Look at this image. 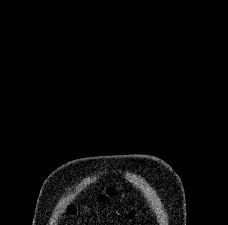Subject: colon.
Instances as JSON below:
<instances>
[{
	"mask_svg": "<svg viewBox=\"0 0 228 225\" xmlns=\"http://www.w3.org/2000/svg\"><path fill=\"white\" fill-rule=\"evenodd\" d=\"M113 193H114V190H109V191H108V195H112ZM98 199H99V200H102L103 197L100 196ZM68 212H69L70 214H74V213H75V210H74V209H70Z\"/></svg>",
	"mask_w": 228,
	"mask_h": 225,
	"instance_id": "5ec220e1",
	"label": "colon"
}]
</instances>
